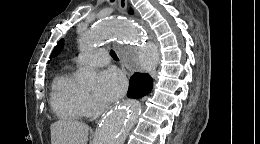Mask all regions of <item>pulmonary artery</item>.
I'll return each mask as SVG.
<instances>
[{"label": "pulmonary artery", "instance_id": "1", "mask_svg": "<svg viewBox=\"0 0 260 144\" xmlns=\"http://www.w3.org/2000/svg\"><path fill=\"white\" fill-rule=\"evenodd\" d=\"M110 61L109 54L104 49H96L91 51L89 54L80 55L77 57L79 63H90L93 66L103 67Z\"/></svg>", "mask_w": 260, "mask_h": 144}]
</instances>
